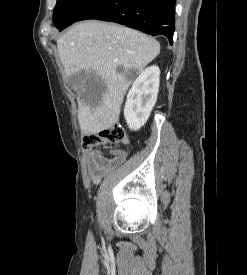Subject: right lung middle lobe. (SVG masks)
Segmentation results:
<instances>
[{
  "label": "right lung middle lobe",
  "mask_w": 247,
  "mask_h": 275,
  "mask_svg": "<svg viewBox=\"0 0 247 275\" xmlns=\"http://www.w3.org/2000/svg\"><path fill=\"white\" fill-rule=\"evenodd\" d=\"M98 0H57L53 11L54 24L65 29L78 20L80 15Z\"/></svg>",
  "instance_id": "dd1d6c3e"
}]
</instances>
